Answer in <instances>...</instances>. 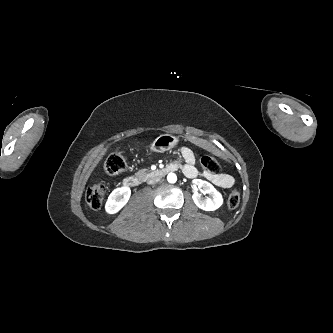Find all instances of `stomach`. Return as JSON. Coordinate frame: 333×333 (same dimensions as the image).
<instances>
[{"label":"stomach","mask_w":333,"mask_h":333,"mask_svg":"<svg viewBox=\"0 0 333 333\" xmlns=\"http://www.w3.org/2000/svg\"><path fill=\"white\" fill-rule=\"evenodd\" d=\"M178 143V138L172 134H163L158 136L151 146L153 152L163 153L174 148Z\"/></svg>","instance_id":"0dacf381"}]
</instances>
